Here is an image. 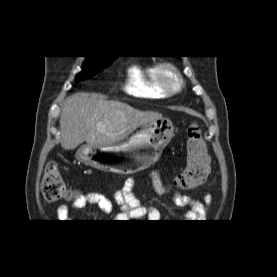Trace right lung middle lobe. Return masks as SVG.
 Segmentation results:
<instances>
[{"mask_svg": "<svg viewBox=\"0 0 277 277\" xmlns=\"http://www.w3.org/2000/svg\"><path fill=\"white\" fill-rule=\"evenodd\" d=\"M114 59L86 58L83 63L82 72H80L76 76V78L87 79V78L93 77L99 71L103 70L106 66L112 63Z\"/></svg>", "mask_w": 277, "mask_h": 277, "instance_id": "obj_1", "label": "right lung middle lobe"}]
</instances>
